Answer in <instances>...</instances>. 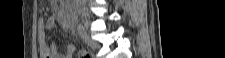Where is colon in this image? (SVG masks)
I'll list each match as a JSON object with an SVG mask.
<instances>
[{"label":"colon","instance_id":"1","mask_svg":"<svg viewBox=\"0 0 225 58\" xmlns=\"http://www.w3.org/2000/svg\"><path fill=\"white\" fill-rule=\"evenodd\" d=\"M92 54L90 51L82 49L78 52V58H91Z\"/></svg>","mask_w":225,"mask_h":58}]
</instances>
